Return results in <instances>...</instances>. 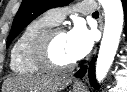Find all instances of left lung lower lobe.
I'll return each mask as SVG.
<instances>
[{
    "label": "left lung lower lobe",
    "mask_w": 127,
    "mask_h": 92,
    "mask_svg": "<svg viewBox=\"0 0 127 92\" xmlns=\"http://www.w3.org/2000/svg\"><path fill=\"white\" fill-rule=\"evenodd\" d=\"M124 14H125V22L127 25V0H122ZM87 71V66L82 67L79 71L75 73V77L82 78ZM89 79L91 81L92 86L97 87L95 73H94V65L91 64L89 68Z\"/></svg>",
    "instance_id": "left-lung-lower-lobe-1"
}]
</instances>
